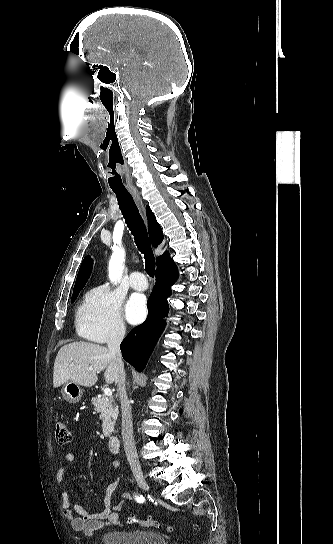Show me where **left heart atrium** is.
<instances>
[{
  "mask_svg": "<svg viewBox=\"0 0 333 544\" xmlns=\"http://www.w3.org/2000/svg\"><path fill=\"white\" fill-rule=\"evenodd\" d=\"M147 314L146 298L140 294H134L126 305V317L132 324L141 323Z\"/></svg>",
  "mask_w": 333,
  "mask_h": 544,
  "instance_id": "1",
  "label": "left heart atrium"
}]
</instances>
